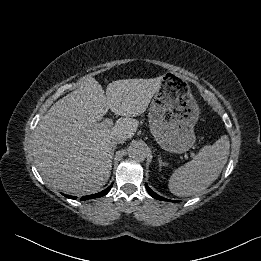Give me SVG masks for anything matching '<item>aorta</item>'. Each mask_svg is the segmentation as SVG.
Instances as JSON below:
<instances>
[{"instance_id":"1","label":"aorta","mask_w":261,"mask_h":261,"mask_svg":"<svg viewBox=\"0 0 261 261\" xmlns=\"http://www.w3.org/2000/svg\"><path fill=\"white\" fill-rule=\"evenodd\" d=\"M129 157L133 161L142 162L146 158V151L142 145L135 144L129 150Z\"/></svg>"}]
</instances>
